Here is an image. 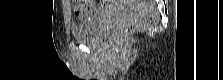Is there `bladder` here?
<instances>
[{
    "mask_svg": "<svg viewBox=\"0 0 223 80\" xmlns=\"http://www.w3.org/2000/svg\"><path fill=\"white\" fill-rule=\"evenodd\" d=\"M113 10V7L110 8L96 20L72 25L71 32L74 39L86 42L96 41L102 32L104 22L113 14Z\"/></svg>",
    "mask_w": 223,
    "mask_h": 80,
    "instance_id": "bladder-1",
    "label": "bladder"
}]
</instances>
